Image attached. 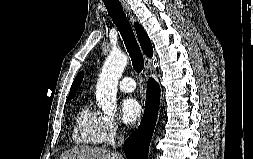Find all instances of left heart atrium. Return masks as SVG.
Instances as JSON below:
<instances>
[{"label":"left heart atrium","instance_id":"39dd6f15","mask_svg":"<svg viewBox=\"0 0 253 159\" xmlns=\"http://www.w3.org/2000/svg\"><path fill=\"white\" fill-rule=\"evenodd\" d=\"M142 108L139 101L133 97L125 98L120 105V114L126 124H134L141 115Z\"/></svg>","mask_w":253,"mask_h":159}]
</instances>
